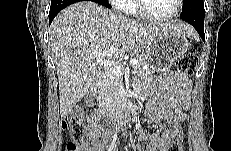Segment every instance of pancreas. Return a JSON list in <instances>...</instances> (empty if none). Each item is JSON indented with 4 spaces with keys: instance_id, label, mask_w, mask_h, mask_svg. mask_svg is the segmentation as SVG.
<instances>
[{
    "instance_id": "obj_1",
    "label": "pancreas",
    "mask_w": 231,
    "mask_h": 151,
    "mask_svg": "<svg viewBox=\"0 0 231 151\" xmlns=\"http://www.w3.org/2000/svg\"><path fill=\"white\" fill-rule=\"evenodd\" d=\"M134 73L139 76H148L154 73L147 64L144 57L138 59L137 65L134 66ZM123 78L111 72H107L105 79L100 84L98 101L102 109L112 107L121 100L120 91L123 88Z\"/></svg>"
}]
</instances>
